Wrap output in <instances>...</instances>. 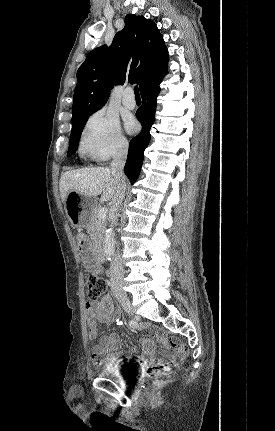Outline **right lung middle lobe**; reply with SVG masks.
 <instances>
[{
	"instance_id": "dd1d6c3e",
	"label": "right lung middle lobe",
	"mask_w": 275,
	"mask_h": 431,
	"mask_svg": "<svg viewBox=\"0 0 275 431\" xmlns=\"http://www.w3.org/2000/svg\"><path fill=\"white\" fill-rule=\"evenodd\" d=\"M87 119H88V117L72 124V131H71V135H70V144H69V149H68V154H67L68 156H71L76 152L77 146L79 144L80 136H81L82 130L84 128V125H85Z\"/></svg>"
}]
</instances>
